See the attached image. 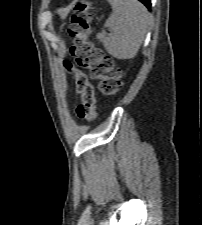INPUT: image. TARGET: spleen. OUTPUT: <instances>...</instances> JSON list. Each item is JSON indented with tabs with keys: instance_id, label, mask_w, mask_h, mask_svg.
<instances>
[{
	"instance_id": "obj_1",
	"label": "spleen",
	"mask_w": 202,
	"mask_h": 225,
	"mask_svg": "<svg viewBox=\"0 0 202 225\" xmlns=\"http://www.w3.org/2000/svg\"><path fill=\"white\" fill-rule=\"evenodd\" d=\"M112 14L97 35L106 51L117 59H131L136 56L150 23V14L138 0H108Z\"/></svg>"
}]
</instances>
